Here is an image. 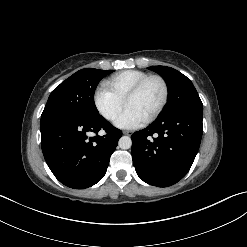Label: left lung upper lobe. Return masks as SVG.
<instances>
[{
    "label": "left lung upper lobe",
    "instance_id": "obj_1",
    "mask_svg": "<svg viewBox=\"0 0 247 247\" xmlns=\"http://www.w3.org/2000/svg\"><path fill=\"white\" fill-rule=\"evenodd\" d=\"M148 69L160 74L165 79L169 89L168 103L157 119H162L180 110H203V104L195 87L185 75L166 66H152Z\"/></svg>",
    "mask_w": 247,
    "mask_h": 247
}]
</instances>
